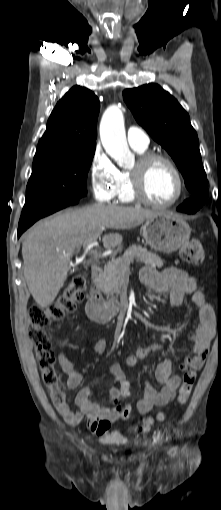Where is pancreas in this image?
<instances>
[{
    "label": "pancreas",
    "instance_id": "cf45deb5",
    "mask_svg": "<svg viewBox=\"0 0 221 510\" xmlns=\"http://www.w3.org/2000/svg\"><path fill=\"white\" fill-rule=\"evenodd\" d=\"M134 260L142 262L152 268L163 266V260L155 253L147 251L140 245L130 246L121 257H113L100 275L98 286L108 296L115 297L120 293V279L122 272L129 268Z\"/></svg>",
    "mask_w": 221,
    "mask_h": 510
}]
</instances>
